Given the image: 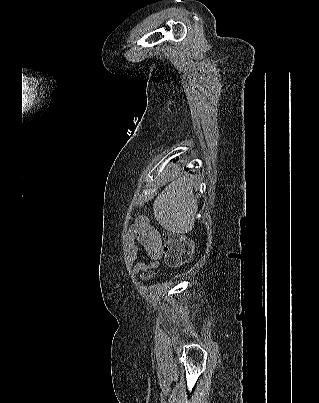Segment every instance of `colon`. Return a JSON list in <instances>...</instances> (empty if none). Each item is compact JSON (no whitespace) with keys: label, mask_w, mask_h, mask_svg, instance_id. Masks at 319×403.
I'll return each mask as SVG.
<instances>
[{"label":"colon","mask_w":319,"mask_h":403,"mask_svg":"<svg viewBox=\"0 0 319 403\" xmlns=\"http://www.w3.org/2000/svg\"><path fill=\"white\" fill-rule=\"evenodd\" d=\"M135 232L139 237L137 247L146 248L152 261L158 260L162 254L165 255V259L171 267H179L192 260L194 244L181 234L165 232L161 236L144 217L137 219Z\"/></svg>","instance_id":"colon-1"}]
</instances>
